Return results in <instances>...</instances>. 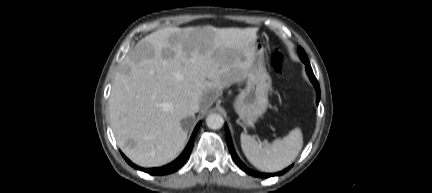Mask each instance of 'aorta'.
<instances>
[{
    "label": "aorta",
    "instance_id": "obj_1",
    "mask_svg": "<svg viewBox=\"0 0 432 193\" xmlns=\"http://www.w3.org/2000/svg\"><path fill=\"white\" fill-rule=\"evenodd\" d=\"M224 124L223 117L218 113L209 114L206 118V125L213 130L220 129Z\"/></svg>",
    "mask_w": 432,
    "mask_h": 193
}]
</instances>
